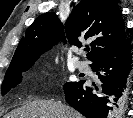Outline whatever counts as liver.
I'll list each match as a JSON object with an SVG mask.
<instances>
[{
  "label": "liver",
  "mask_w": 133,
  "mask_h": 118,
  "mask_svg": "<svg viewBox=\"0 0 133 118\" xmlns=\"http://www.w3.org/2000/svg\"><path fill=\"white\" fill-rule=\"evenodd\" d=\"M5 118H83L74 109L52 100H36L13 110Z\"/></svg>",
  "instance_id": "liver-1"
}]
</instances>
